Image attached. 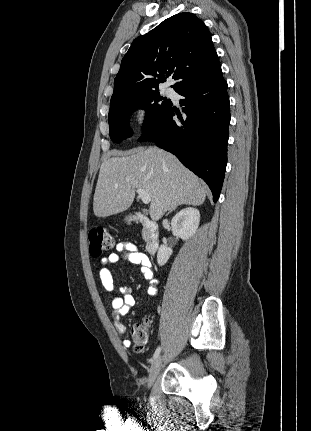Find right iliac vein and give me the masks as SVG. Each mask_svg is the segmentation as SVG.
Wrapping results in <instances>:
<instances>
[{
    "label": "right iliac vein",
    "mask_w": 311,
    "mask_h": 431,
    "mask_svg": "<svg viewBox=\"0 0 311 431\" xmlns=\"http://www.w3.org/2000/svg\"><path fill=\"white\" fill-rule=\"evenodd\" d=\"M163 358L162 356H159L156 358V360L153 362L150 370H149V376H148V387L150 388L152 384L154 383L162 365Z\"/></svg>",
    "instance_id": "1"
}]
</instances>
